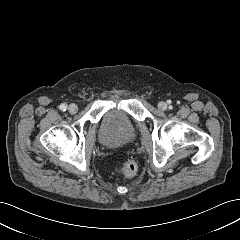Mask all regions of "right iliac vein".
I'll list each match as a JSON object with an SVG mask.
<instances>
[{"instance_id":"right-iliac-vein-1","label":"right iliac vein","mask_w":240,"mask_h":240,"mask_svg":"<svg viewBox=\"0 0 240 240\" xmlns=\"http://www.w3.org/2000/svg\"><path fill=\"white\" fill-rule=\"evenodd\" d=\"M78 108L75 104H70L69 107H68V111L71 113V114H75L77 112Z\"/></svg>"}]
</instances>
